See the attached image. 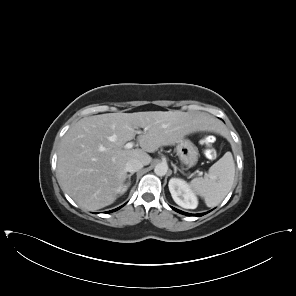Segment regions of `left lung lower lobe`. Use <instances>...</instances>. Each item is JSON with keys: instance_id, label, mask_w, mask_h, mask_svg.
<instances>
[{"instance_id": "left-lung-lower-lobe-1", "label": "left lung lower lobe", "mask_w": 296, "mask_h": 296, "mask_svg": "<svg viewBox=\"0 0 296 296\" xmlns=\"http://www.w3.org/2000/svg\"><path fill=\"white\" fill-rule=\"evenodd\" d=\"M173 209H174L175 211L181 213V214H184V215H191V214H188V213L182 212V211H180V210H178V209H175V208H173ZM202 215H204V214L201 213V214H197V215H195V216H202Z\"/></svg>"}]
</instances>
